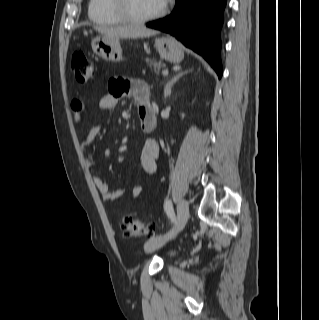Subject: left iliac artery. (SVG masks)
I'll use <instances>...</instances> for the list:
<instances>
[{
    "label": "left iliac artery",
    "instance_id": "obj_1",
    "mask_svg": "<svg viewBox=\"0 0 319 320\" xmlns=\"http://www.w3.org/2000/svg\"><path fill=\"white\" fill-rule=\"evenodd\" d=\"M164 209L168 215V217L171 219L172 222L176 221L173 206L171 200H167L164 204Z\"/></svg>",
    "mask_w": 319,
    "mask_h": 320
}]
</instances>
